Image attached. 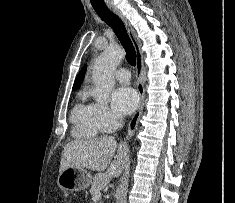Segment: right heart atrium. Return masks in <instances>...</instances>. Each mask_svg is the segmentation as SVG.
I'll use <instances>...</instances> for the list:
<instances>
[{"mask_svg":"<svg viewBox=\"0 0 235 203\" xmlns=\"http://www.w3.org/2000/svg\"><path fill=\"white\" fill-rule=\"evenodd\" d=\"M95 120L103 132L114 130L120 123L119 117L108 106L101 103L92 104Z\"/></svg>","mask_w":235,"mask_h":203,"instance_id":"d8ad5b80","label":"right heart atrium"}]
</instances>
